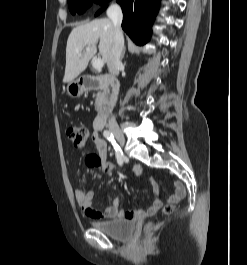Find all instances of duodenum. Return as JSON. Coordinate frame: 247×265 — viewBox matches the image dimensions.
<instances>
[{
  "instance_id": "obj_1",
  "label": "duodenum",
  "mask_w": 247,
  "mask_h": 265,
  "mask_svg": "<svg viewBox=\"0 0 247 265\" xmlns=\"http://www.w3.org/2000/svg\"><path fill=\"white\" fill-rule=\"evenodd\" d=\"M81 86L86 89H91L99 86L100 84L106 85L110 90V97L102 104L99 109L97 116L94 119V128L96 131H99L105 121L107 120L113 104L114 97L119 89V84L115 78H113L109 74L93 76V75H85L81 78Z\"/></svg>"
}]
</instances>
